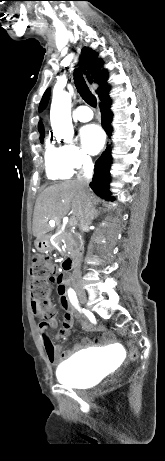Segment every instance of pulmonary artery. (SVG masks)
Wrapping results in <instances>:
<instances>
[{
  "label": "pulmonary artery",
  "instance_id": "pulmonary-artery-1",
  "mask_svg": "<svg viewBox=\"0 0 165 461\" xmlns=\"http://www.w3.org/2000/svg\"><path fill=\"white\" fill-rule=\"evenodd\" d=\"M76 118L79 121L87 122L93 118V112L88 106H80L75 111Z\"/></svg>",
  "mask_w": 165,
  "mask_h": 461
}]
</instances>
